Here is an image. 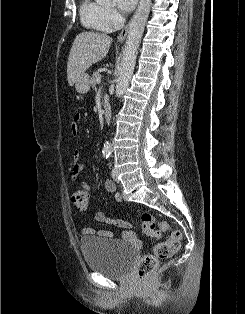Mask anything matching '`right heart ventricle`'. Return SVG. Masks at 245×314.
Masks as SVG:
<instances>
[{
    "label": "right heart ventricle",
    "mask_w": 245,
    "mask_h": 314,
    "mask_svg": "<svg viewBox=\"0 0 245 314\" xmlns=\"http://www.w3.org/2000/svg\"><path fill=\"white\" fill-rule=\"evenodd\" d=\"M80 18L85 27L94 31L106 32L104 26V7L93 0H82L80 4Z\"/></svg>",
    "instance_id": "1"
}]
</instances>
